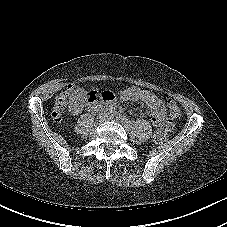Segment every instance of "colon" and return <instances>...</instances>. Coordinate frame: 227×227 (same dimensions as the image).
I'll return each mask as SVG.
<instances>
[{
  "mask_svg": "<svg viewBox=\"0 0 227 227\" xmlns=\"http://www.w3.org/2000/svg\"><path fill=\"white\" fill-rule=\"evenodd\" d=\"M73 92V87L68 86L57 96L52 107V118L55 122L60 123L62 121L63 112L68 104V100ZM168 113L171 120L178 119L181 115V110L178 104L174 100H169L167 103ZM167 139V130L159 128L154 133V141L157 143H163Z\"/></svg>",
  "mask_w": 227,
  "mask_h": 227,
  "instance_id": "1",
  "label": "colon"
}]
</instances>
